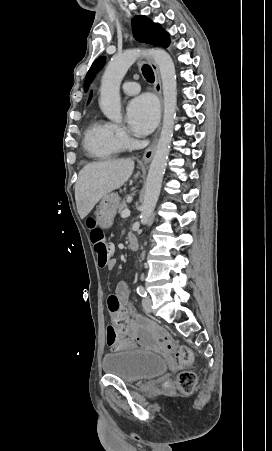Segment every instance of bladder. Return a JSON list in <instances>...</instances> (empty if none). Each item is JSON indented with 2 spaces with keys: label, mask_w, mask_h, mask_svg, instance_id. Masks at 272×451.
I'll return each mask as SVG.
<instances>
[{
  "label": "bladder",
  "mask_w": 272,
  "mask_h": 451,
  "mask_svg": "<svg viewBox=\"0 0 272 451\" xmlns=\"http://www.w3.org/2000/svg\"><path fill=\"white\" fill-rule=\"evenodd\" d=\"M103 366L107 375L118 376L125 383H135L162 375L168 363L160 354L118 349L105 354Z\"/></svg>",
  "instance_id": "1"
}]
</instances>
